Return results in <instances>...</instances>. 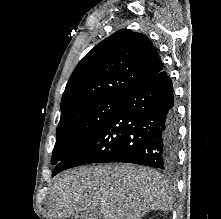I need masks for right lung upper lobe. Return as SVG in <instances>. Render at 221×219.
I'll use <instances>...</instances> for the list:
<instances>
[{"mask_svg": "<svg viewBox=\"0 0 221 219\" xmlns=\"http://www.w3.org/2000/svg\"><path fill=\"white\" fill-rule=\"evenodd\" d=\"M162 69L157 50L147 36L119 30L78 63L63 93L61 112L91 100L123 98Z\"/></svg>", "mask_w": 221, "mask_h": 219, "instance_id": "1", "label": "right lung upper lobe"}]
</instances>
